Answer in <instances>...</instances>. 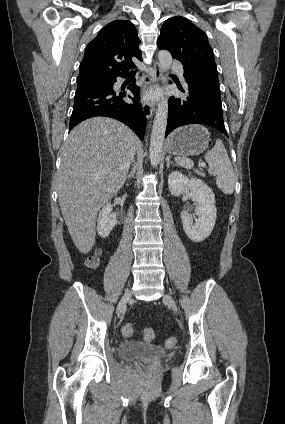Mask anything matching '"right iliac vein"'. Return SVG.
<instances>
[{
  "instance_id": "obj_1",
  "label": "right iliac vein",
  "mask_w": 285,
  "mask_h": 424,
  "mask_svg": "<svg viewBox=\"0 0 285 424\" xmlns=\"http://www.w3.org/2000/svg\"><path fill=\"white\" fill-rule=\"evenodd\" d=\"M132 298V293L131 291H127L124 296L122 297V299L120 300L119 304H118V308L117 311L121 312L122 310H124L126 308V304L129 300H131Z\"/></svg>"
}]
</instances>
